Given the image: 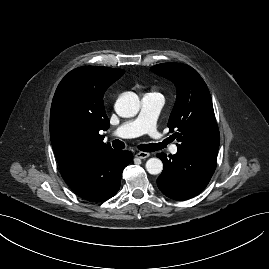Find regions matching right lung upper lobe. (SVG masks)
I'll return each mask as SVG.
<instances>
[{
  "label": "right lung upper lobe",
  "mask_w": 269,
  "mask_h": 269,
  "mask_svg": "<svg viewBox=\"0 0 269 269\" xmlns=\"http://www.w3.org/2000/svg\"><path fill=\"white\" fill-rule=\"evenodd\" d=\"M123 74L122 69L79 67L58 85L51 105L50 136L61 171L115 150L100 134L109 128L103 95Z\"/></svg>",
  "instance_id": "cb5924a9"
}]
</instances>
